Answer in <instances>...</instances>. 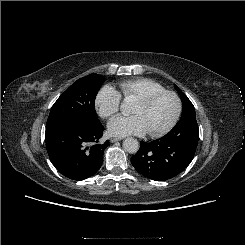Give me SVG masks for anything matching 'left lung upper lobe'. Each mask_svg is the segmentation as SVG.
I'll use <instances>...</instances> for the list:
<instances>
[{"instance_id": "left-lung-upper-lobe-1", "label": "left lung upper lobe", "mask_w": 245, "mask_h": 245, "mask_svg": "<svg viewBox=\"0 0 245 245\" xmlns=\"http://www.w3.org/2000/svg\"><path fill=\"white\" fill-rule=\"evenodd\" d=\"M177 92L181 95L183 111L181 119L175 127L164 136V138L181 143L197 145L199 129L196 121L195 109L188 97L176 86Z\"/></svg>"}]
</instances>
